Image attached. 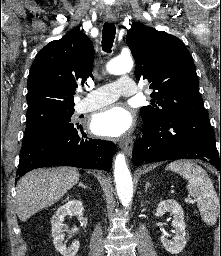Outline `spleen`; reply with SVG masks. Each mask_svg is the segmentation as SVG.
<instances>
[{
	"mask_svg": "<svg viewBox=\"0 0 221 256\" xmlns=\"http://www.w3.org/2000/svg\"><path fill=\"white\" fill-rule=\"evenodd\" d=\"M166 170L176 172L188 181V193L196 200L203 221L214 225L219 215V198L206 171L189 160L169 163Z\"/></svg>",
	"mask_w": 221,
	"mask_h": 256,
	"instance_id": "3e777b00",
	"label": "spleen"
}]
</instances>
